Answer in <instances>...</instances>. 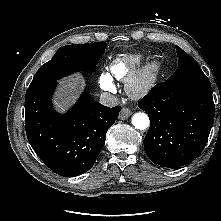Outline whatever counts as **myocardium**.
I'll return each instance as SVG.
<instances>
[{"label":"myocardium","mask_w":221,"mask_h":221,"mask_svg":"<svg viewBox=\"0 0 221 221\" xmlns=\"http://www.w3.org/2000/svg\"><path fill=\"white\" fill-rule=\"evenodd\" d=\"M160 61L153 58L134 71L126 80L125 88L133 98L146 95L156 84Z\"/></svg>","instance_id":"f54148a6"}]
</instances>
